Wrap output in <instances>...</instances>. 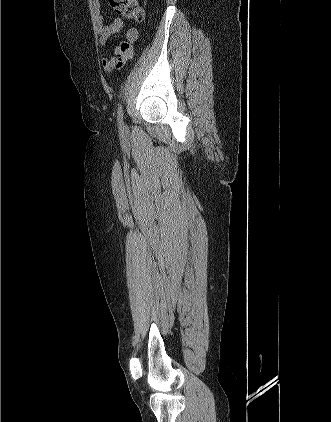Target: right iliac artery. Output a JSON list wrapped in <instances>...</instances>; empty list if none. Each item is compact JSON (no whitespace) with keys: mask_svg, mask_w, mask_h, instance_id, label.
<instances>
[{"mask_svg":"<svg viewBox=\"0 0 331 422\" xmlns=\"http://www.w3.org/2000/svg\"><path fill=\"white\" fill-rule=\"evenodd\" d=\"M118 127L120 130L124 129V124H123V111H122V107L121 105L118 108Z\"/></svg>","mask_w":331,"mask_h":422,"instance_id":"right-iliac-artery-1","label":"right iliac artery"}]
</instances>
